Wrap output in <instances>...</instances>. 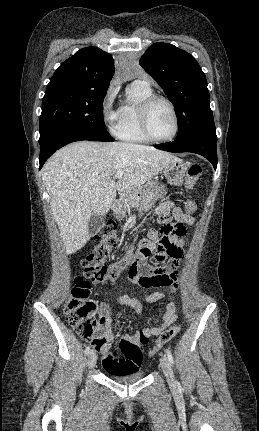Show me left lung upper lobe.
<instances>
[{"label":"left lung upper lobe","instance_id":"1","mask_svg":"<svg viewBox=\"0 0 259 431\" xmlns=\"http://www.w3.org/2000/svg\"><path fill=\"white\" fill-rule=\"evenodd\" d=\"M139 64L176 108L179 125L176 140L195 135L216 137L207 80L191 54L158 42L146 50Z\"/></svg>","mask_w":259,"mask_h":431}]
</instances>
